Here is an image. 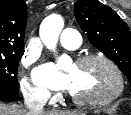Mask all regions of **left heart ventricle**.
Segmentation results:
<instances>
[{"label": "left heart ventricle", "instance_id": "b2bd125f", "mask_svg": "<svg viewBox=\"0 0 131 115\" xmlns=\"http://www.w3.org/2000/svg\"><path fill=\"white\" fill-rule=\"evenodd\" d=\"M67 75L71 77L72 94L80 98H105L117 87L114 72L100 60L73 64L67 69Z\"/></svg>", "mask_w": 131, "mask_h": 115}]
</instances>
